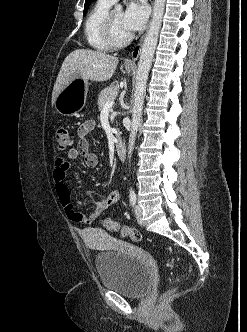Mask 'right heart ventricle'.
I'll list each match as a JSON object with an SVG mask.
<instances>
[{"label": "right heart ventricle", "mask_w": 247, "mask_h": 332, "mask_svg": "<svg viewBox=\"0 0 247 332\" xmlns=\"http://www.w3.org/2000/svg\"><path fill=\"white\" fill-rule=\"evenodd\" d=\"M111 5L112 3L107 0H97L84 24V34L87 44L92 49L100 52H106L111 49L101 35V24L109 12Z\"/></svg>", "instance_id": "1"}]
</instances>
